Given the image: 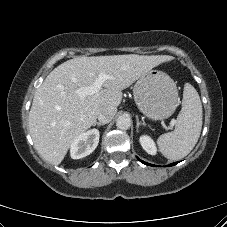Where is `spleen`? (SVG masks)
<instances>
[{"label": "spleen", "mask_w": 227, "mask_h": 227, "mask_svg": "<svg viewBox=\"0 0 227 227\" xmlns=\"http://www.w3.org/2000/svg\"><path fill=\"white\" fill-rule=\"evenodd\" d=\"M202 116L200 97L196 89L186 83L174 131L162 134L157 140L160 152L167 159L179 160L192 151L200 136Z\"/></svg>", "instance_id": "3e777b00"}]
</instances>
